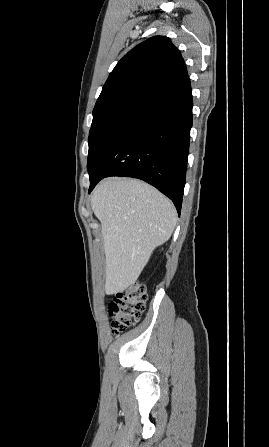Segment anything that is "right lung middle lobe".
<instances>
[{
	"instance_id": "right-lung-middle-lobe-1",
	"label": "right lung middle lobe",
	"mask_w": 269,
	"mask_h": 447,
	"mask_svg": "<svg viewBox=\"0 0 269 447\" xmlns=\"http://www.w3.org/2000/svg\"><path fill=\"white\" fill-rule=\"evenodd\" d=\"M141 107L123 106L93 117L89 132V154L87 168L90 170L94 160L105 148L127 117Z\"/></svg>"
}]
</instances>
